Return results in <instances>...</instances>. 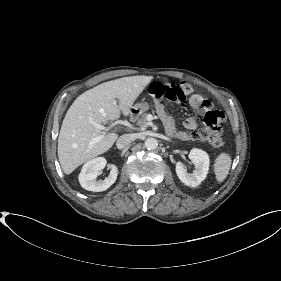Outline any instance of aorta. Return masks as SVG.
<instances>
[{
  "label": "aorta",
  "mask_w": 281,
  "mask_h": 281,
  "mask_svg": "<svg viewBox=\"0 0 281 281\" xmlns=\"http://www.w3.org/2000/svg\"><path fill=\"white\" fill-rule=\"evenodd\" d=\"M144 145L148 150H153L158 146V142L155 138L150 137L145 140Z\"/></svg>",
  "instance_id": "aorta-1"
}]
</instances>
